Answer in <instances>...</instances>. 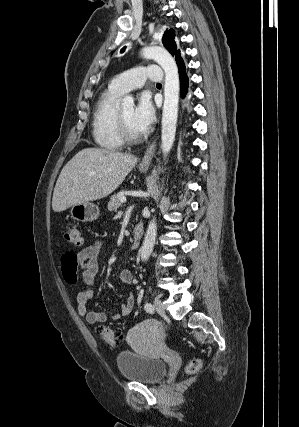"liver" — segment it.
<instances>
[{
	"instance_id": "1",
	"label": "liver",
	"mask_w": 299,
	"mask_h": 427,
	"mask_svg": "<svg viewBox=\"0 0 299 427\" xmlns=\"http://www.w3.org/2000/svg\"><path fill=\"white\" fill-rule=\"evenodd\" d=\"M131 154L85 148L62 169L54 188L52 208L62 212L81 203L102 199L124 181L137 164Z\"/></svg>"
}]
</instances>
